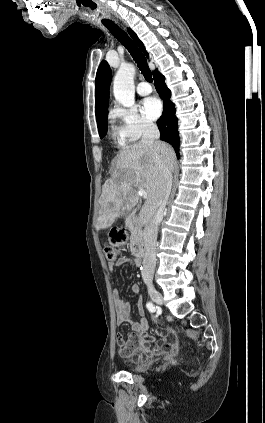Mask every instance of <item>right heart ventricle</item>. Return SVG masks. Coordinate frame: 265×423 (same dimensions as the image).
Here are the masks:
<instances>
[{
	"label": "right heart ventricle",
	"instance_id": "right-heart-ventricle-1",
	"mask_svg": "<svg viewBox=\"0 0 265 423\" xmlns=\"http://www.w3.org/2000/svg\"><path fill=\"white\" fill-rule=\"evenodd\" d=\"M114 137H120V134L118 131H114Z\"/></svg>",
	"mask_w": 265,
	"mask_h": 423
}]
</instances>
